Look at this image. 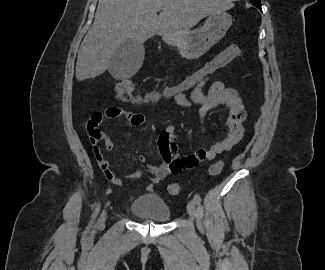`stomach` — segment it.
<instances>
[{"instance_id":"1","label":"stomach","mask_w":325,"mask_h":270,"mask_svg":"<svg viewBox=\"0 0 325 270\" xmlns=\"http://www.w3.org/2000/svg\"><path fill=\"white\" fill-rule=\"evenodd\" d=\"M232 25L231 16L222 11L212 13L201 29L190 31L188 34L177 37H163L168 44L176 46L181 55L187 59H194L205 54L226 34Z\"/></svg>"}]
</instances>
